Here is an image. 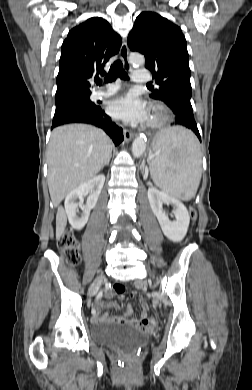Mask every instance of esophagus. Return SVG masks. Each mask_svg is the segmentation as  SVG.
Listing matches in <instances>:
<instances>
[{
  "instance_id": "obj_1",
  "label": "esophagus",
  "mask_w": 252,
  "mask_h": 390,
  "mask_svg": "<svg viewBox=\"0 0 252 390\" xmlns=\"http://www.w3.org/2000/svg\"><path fill=\"white\" fill-rule=\"evenodd\" d=\"M128 54H129L128 46L127 43L124 41L120 48V56L125 69H130L131 67L128 61ZM133 137H134V133L126 129L124 130V138L126 142L131 141Z\"/></svg>"
}]
</instances>
